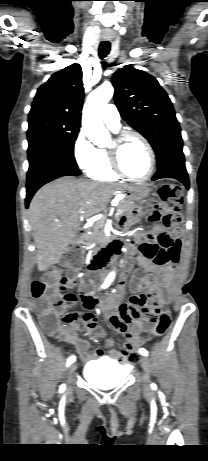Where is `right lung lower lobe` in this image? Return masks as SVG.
<instances>
[{
  "label": "right lung lower lobe",
  "instance_id": "98d812e1",
  "mask_svg": "<svg viewBox=\"0 0 208 461\" xmlns=\"http://www.w3.org/2000/svg\"><path fill=\"white\" fill-rule=\"evenodd\" d=\"M80 174L81 171L78 167L71 166L60 160H48L29 169L26 184V208L29 206L32 196L42 185L62 176H77Z\"/></svg>",
  "mask_w": 208,
  "mask_h": 461
}]
</instances>
